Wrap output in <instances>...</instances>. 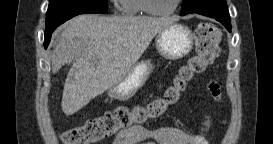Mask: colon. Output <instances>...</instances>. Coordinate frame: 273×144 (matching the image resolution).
I'll return each mask as SVG.
<instances>
[{
    "instance_id": "1",
    "label": "colon",
    "mask_w": 273,
    "mask_h": 144,
    "mask_svg": "<svg viewBox=\"0 0 273 144\" xmlns=\"http://www.w3.org/2000/svg\"><path fill=\"white\" fill-rule=\"evenodd\" d=\"M220 32L212 22H202L195 30L196 55L182 67L164 93L145 104L132 108L118 106L103 116L90 119L83 125L63 134L65 144H91L109 138L134 125L160 116L176 103L188 83L203 74L219 54Z\"/></svg>"
}]
</instances>
